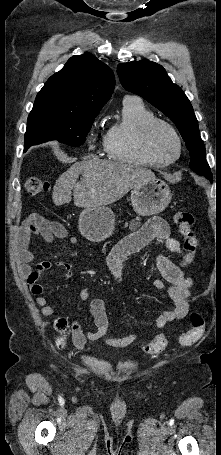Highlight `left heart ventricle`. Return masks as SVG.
<instances>
[{
	"mask_svg": "<svg viewBox=\"0 0 221 455\" xmlns=\"http://www.w3.org/2000/svg\"><path fill=\"white\" fill-rule=\"evenodd\" d=\"M157 147L167 156L174 157L177 154V145L170 133L164 128H159L155 135Z\"/></svg>",
	"mask_w": 221,
	"mask_h": 455,
	"instance_id": "1",
	"label": "left heart ventricle"
}]
</instances>
